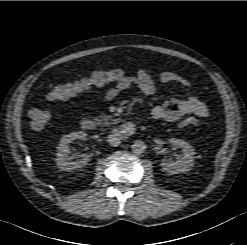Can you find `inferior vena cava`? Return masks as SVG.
<instances>
[{"instance_id": "602c4592", "label": "inferior vena cava", "mask_w": 247, "mask_h": 245, "mask_svg": "<svg viewBox=\"0 0 247 245\" xmlns=\"http://www.w3.org/2000/svg\"><path fill=\"white\" fill-rule=\"evenodd\" d=\"M108 142L112 146H118L121 142L120 138L115 135H109L108 136Z\"/></svg>"}]
</instances>
